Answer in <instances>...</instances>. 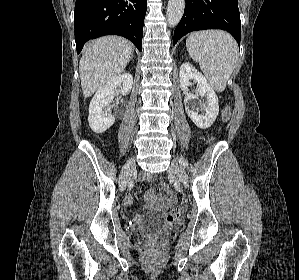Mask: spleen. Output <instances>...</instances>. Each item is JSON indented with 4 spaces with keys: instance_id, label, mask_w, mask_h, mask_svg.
<instances>
[{
    "instance_id": "spleen-1",
    "label": "spleen",
    "mask_w": 299,
    "mask_h": 280,
    "mask_svg": "<svg viewBox=\"0 0 299 280\" xmlns=\"http://www.w3.org/2000/svg\"><path fill=\"white\" fill-rule=\"evenodd\" d=\"M186 47L211 87L217 92L224 91L238 59V46L233 37L220 30L198 31L189 35Z\"/></svg>"
}]
</instances>
